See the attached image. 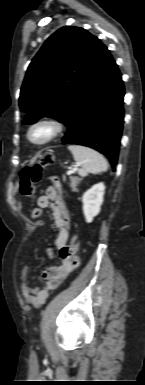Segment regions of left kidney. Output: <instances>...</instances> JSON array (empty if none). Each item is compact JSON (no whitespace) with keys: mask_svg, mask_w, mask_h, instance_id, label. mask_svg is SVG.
Wrapping results in <instances>:
<instances>
[{"mask_svg":"<svg viewBox=\"0 0 145 385\" xmlns=\"http://www.w3.org/2000/svg\"><path fill=\"white\" fill-rule=\"evenodd\" d=\"M105 192V185L98 183L88 189L82 197L83 213L87 223H91L101 209L103 203V196Z\"/></svg>","mask_w":145,"mask_h":385,"instance_id":"5707ae66","label":"left kidney"}]
</instances>
